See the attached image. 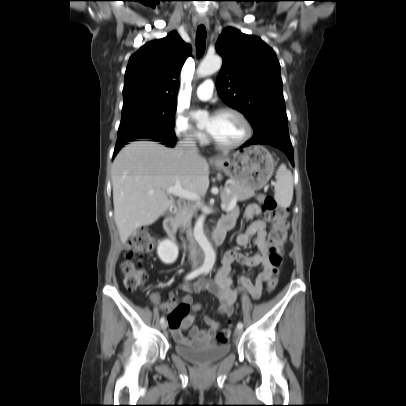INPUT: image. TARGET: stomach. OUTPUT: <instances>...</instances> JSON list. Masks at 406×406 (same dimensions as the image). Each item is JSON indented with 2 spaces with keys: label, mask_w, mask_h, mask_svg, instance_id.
Listing matches in <instances>:
<instances>
[{
  "label": "stomach",
  "mask_w": 406,
  "mask_h": 406,
  "mask_svg": "<svg viewBox=\"0 0 406 406\" xmlns=\"http://www.w3.org/2000/svg\"><path fill=\"white\" fill-rule=\"evenodd\" d=\"M215 166L234 183L257 191L271 178L275 163L266 148L254 145L221 159Z\"/></svg>",
  "instance_id": "1"
}]
</instances>
